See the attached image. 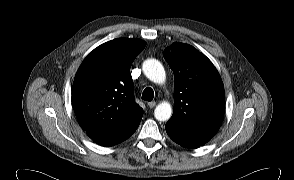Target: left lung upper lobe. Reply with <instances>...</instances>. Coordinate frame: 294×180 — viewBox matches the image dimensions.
I'll list each match as a JSON object with an SVG mask.
<instances>
[{"label":"left lung upper lobe","mask_w":294,"mask_h":180,"mask_svg":"<svg viewBox=\"0 0 294 180\" xmlns=\"http://www.w3.org/2000/svg\"><path fill=\"white\" fill-rule=\"evenodd\" d=\"M163 56L174 73V110L169 121L189 130H218L224 116L225 93L212 62L184 43H173Z\"/></svg>","instance_id":"5c2ea615"}]
</instances>
